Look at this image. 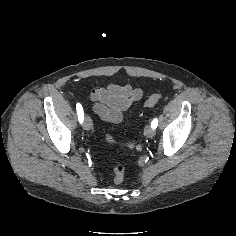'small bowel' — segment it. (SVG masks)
<instances>
[{
    "label": "small bowel",
    "mask_w": 236,
    "mask_h": 236,
    "mask_svg": "<svg viewBox=\"0 0 236 236\" xmlns=\"http://www.w3.org/2000/svg\"><path fill=\"white\" fill-rule=\"evenodd\" d=\"M140 88L130 85L108 84L105 87H97L92 90L90 99L94 112L103 120L118 123L133 102L142 98Z\"/></svg>",
    "instance_id": "c3829d8e"
}]
</instances>
